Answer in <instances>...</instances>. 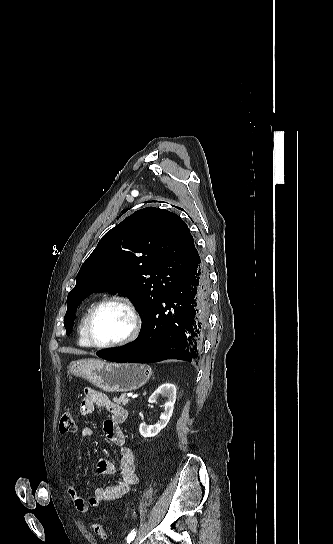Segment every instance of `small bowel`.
Here are the masks:
<instances>
[{
    "mask_svg": "<svg viewBox=\"0 0 333 544\" xmlns=\"http://www.w3.org/2000/svg\"><path fill=\"white\" fill-rule=\"evenodd\" d=\"M96 407H103L109 412L110 417L103 424L104 434L110 442L119 447L121 455L118 471L111 461L104 458L98 460L97 470L102 475H114L118 472L121 479L108 486L97 487L88 498L80 496L76 487L70 484L68 486V495L75 509L80 513L98 507L103 501H111L124 496L131 486L138 483L134 453L125 445V436L120 427L127 418V411L121 405L109 399L104 393L92 388H85L84 397L80 404V414L83 416L89 415L94 412ZM91 435L92 430L89 427L82 429V438Z\"/></svg>",
    "mask_w": 333,
    "mask_h": 544,
    "instance_id": "obj_1",
    "label": "small bowel"
}]
</instances>
